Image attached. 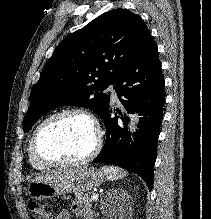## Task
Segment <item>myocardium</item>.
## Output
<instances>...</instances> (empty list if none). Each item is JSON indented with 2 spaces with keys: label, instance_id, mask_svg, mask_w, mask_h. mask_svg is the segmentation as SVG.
I'll return each mask as SVG.
<instances>
[{
  "label": "myocardium",
  "instance_id": "1",
  "mask_svg": "<svg viewBox=\"0 0 211 219\" xmlns=\"http://www.w3.org/2000/svg\"><path fill=\"white\" fill-rule=\"evenodd\" d=\"M64 116L80 117L86 120L93 128L94 136H95L94 145L92 149L90 150V152L81 159L71 160V161L50 160V159L45 158L37 149L39 137L42 131L45 129V127L51 122H53L54 120L64 117ZM101 145H102L101 128L97 120L94 118V116L84 110L73 108V109H64V110L58 111L50 115L49 117H47L45 120H43L37 126V128L35 129L31 137V140L29 143V149H30V153L33 156V158L41 165L47 168L48 167L49 168H66V167H77V166L88 164L99 154Z\"/></svg>",
  "mask_w": 211,
  "mask_h": 219
}]
</instances>
